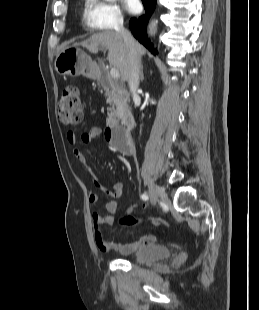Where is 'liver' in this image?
Listing matches in <instances>:
<instances>
[{"instance_id":"liver-1","label":"liver","mask_w":259,"mask_h":310,"mask_svg":"<svg viewBox=\"0 0 259 310\" xmlns=\"http://www.w3.org/2000/svg\"><path fill=\"white\" fill-rule=\"evenodd\" d=\"M138 54L145 55V48L136 42ZM81 45L92 53H97L100 48L108 50L107 59L109 64L114 66L120 72L121 80L127 81L129 78V53L124 43L123 37L115 31H105L90 36L75 46Z\"/></svg>"}]
</instances>
